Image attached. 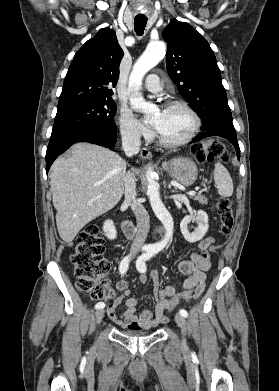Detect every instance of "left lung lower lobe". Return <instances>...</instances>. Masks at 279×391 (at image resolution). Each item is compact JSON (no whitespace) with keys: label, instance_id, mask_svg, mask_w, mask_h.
Masks as SVG:
<instances>
[{"label":"left lung lower lobe","instance_id":"left-lung-lower-lobe-1","mask_svg":"<svg viewBox=\"0 0 279 391\" xmlns=\"http://www.w3.org/2000/svg\"><path fill=\"white\" fill-rule=\"evenodd\" d=\"M209 136H221V137H224L227 140H229L234 145V147L236 149L238 159L240 158V149H239L236 133H230V132H226V131H222V130H210V131H207L205 133L198 135L197 137H195L192 140V142L199 141V140L206 138V137H209Z\"/></svg>","mask_w":279,"mask_h":391}]
</instances>
